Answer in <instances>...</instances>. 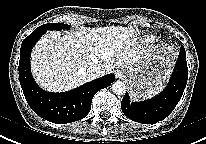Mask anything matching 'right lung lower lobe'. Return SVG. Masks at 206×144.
I'll return each instance as SVG.
<instances>
[{
    "label": "right lung lower lobe",
    "mask_w": 206,
    "mask_h": 144,
    "mask_svg": "<svg viewBox=\"0 0 206 144\" xmlns=\"http://www.w3.org/2000/svg\"><path fill=\"white\" fill-rule=\"evenodd\" d=\"M45 32L34 30L21 44L19 80L24 96L32 110L43 119L57 124L78 121L88 115L93 96L108 87L115 76L108 74L64 93L42 90L31 75L30 55L33 46Z\"/></svg>",
    "instance_id": "98d812e1"
}]
</instances>
